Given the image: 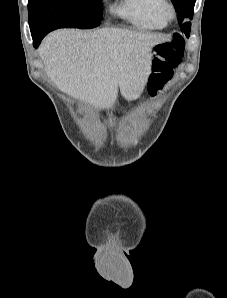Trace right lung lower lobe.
Wrapping results in <instances>:
<instances>
[{
    "label": "right lung lower lobe",
    "mask_w": 227,
    "mask_h": 298,
    "mask_svg": "<svg viewBox=\"0 0 227 298\" xmlns=\"http://www.w3.org/2000/svg\"><path fill=\"white\" fill-rule=\"evenodd\" d=\"M50 31H45V32H40V33H34L32 34V38H33V45L34 47H38L41 40L43 39V37L49 33Z\"/></svg>",
    "instance_id": "right-lung-lower-lobe-1"
}]
</instances>
